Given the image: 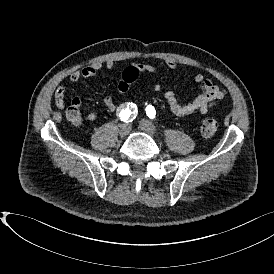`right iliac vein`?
<instances>
[{
	"label": "right iliac vein",
	"instance_id": "63e3f726",
	"mask_svg": "<svg viewBox=\"0 0 274 274\" xmlns=\"http://www.w3.org/2000/svg\"><path fill=\"white\" fill-rule=\"evenodd\" d=\"M131 127L129 123H123L119 126V135L120 137H125L129 133Z\"/></svg>",
	"mask_w": 274,
	"mask_h": 274
}]
</instances>
